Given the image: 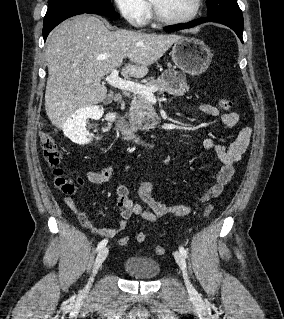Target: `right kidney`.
Returning a JSON list of instances; mask_svg holds the SVG:
<instances>
[{
    "instance_id": "1",
    "label": "right kidney",
    "mask_w": 284,
    "mask_h": 319,
    "mask_svg": "<svg viewBox=\"0 0 284 319\" xmlns=\"http://www.w3.org/2000/svg\"><path fill=\"white\" fill-rule=\"evenodd\" d=\"M101 113L102 111L96 106L78 109L64 124V134L74 143L88 144L94 135L87 131L86 122L89 118L97 117Z\"/></svg>"
}]
</instances>
